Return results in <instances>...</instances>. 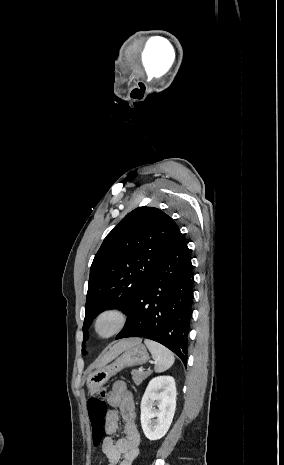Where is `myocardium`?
<instances>
[{
	"label": "myocardium",
	"mask_w": 284,
	"mask_h": 465,
	"mask_svg": "<svg viewBox=\"0 0 284 465\" xmlns=\"http://www.w3.org/2000/svg\"><path fill=\"white\" fill-rule=\"evenodd\" d=\"M105 320H110L112 325L109 330L101 329L102 323ZM127 315L118 308H107L100 311L94 318L92 331L95 337L100 340H108L117 336L126 326Z\"/></svg>",
	"instance_id": "myocardium-1"
}]
</instances>
